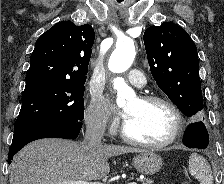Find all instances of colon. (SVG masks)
Returning a JSON list of instances; mask_svg holds the SVG:
<instances>
[{
    "mask_svg": "<svg viewBox=\"0 0 224 184\" xmlns=\"http://www.w3.org/2000/svg\"><path fill=\"white\" fill-rule=\"evenodd\" d=\"M182 184H190V183H188V182H183Z\"/></svg>",
    "mask_w": 224,
    "mask_h": 184,
    "instance_id": "5ec220e1",
    "label": "colon"
}]
</instances>
